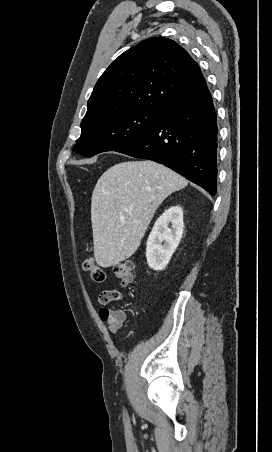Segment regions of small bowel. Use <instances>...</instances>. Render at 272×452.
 Segmentation results:
<instances>
[{
	"label": "small bowel",
	"instance_id": "small-bowel-1",
	"mask_svg": "<svg viewBox=\"0 0 272 452\" xmlns=\"http://www.w3.org/2000/svg\"><path fill=\"white\" fill-rule=\"evenodd\" d=\"M122 299L123 295L118 290H105L99 295V301L103 305ZM100 318L107 323L112 333H116L124 325L126 313L123 310H111L103 307L100 309Z\"/></svg>",
	"mask_w": 272,
	"mask_h": 452
}]
</instances>
